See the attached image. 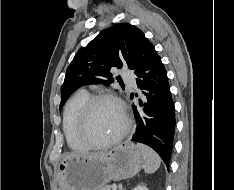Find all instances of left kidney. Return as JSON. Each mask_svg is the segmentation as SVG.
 <instances>
[{
  "mask_svg": "<svg viewBox=\"0 0 234 190\" xmlns=\"http://www.w3.org/2000/svg\"><path fill=\"white\" fill-rule=\"evenodd\" d=\"M133 190H149L145 185H138Z\"/></svg>",
  "mask_w": 234,
  "mask_h": 190,
  "instance_id": "1",
  "label": "left kidney"
}]
</instances>
